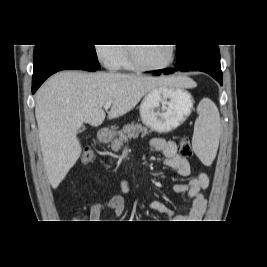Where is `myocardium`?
Returning a JSON list of instances; mask_svg holds the SVG:
<instances>
[{
    "label": "myocardium",
    "mask_w": 267,
    "mask_h": 267,
    "mask_svg": "<svg viewBox=\"0 0 267 267\" xmlns=\"http://www.w3.org/2000/svg\"><path fill=\"white\" fill-rule=\"evenodd\" d=\"M169 46H170V59L163 65L148 66V65L141 63L136 56L134 46H132V44L127 46L128 60L134 68L141 70V71H160V70L166 69L170 65H172V63L175 60V56H176V48L174 44H169Z\"/></svg>",
    "instance_id": "obj_1"
}]
</instances>
